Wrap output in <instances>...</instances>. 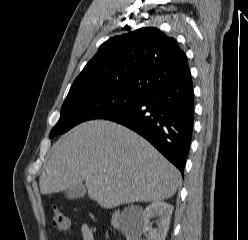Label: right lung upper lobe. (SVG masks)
<instances>
[{
    "label": "right lung upper lobe",
    "instance_id": "obj_1",
    "mask_svg": "<svg viewBox=\"0 0 248 240\" xmlns=\"http://www.w3.org/2000/svg\"><path fill=\"white\" fill-rule=\"evenodd\" d=\"M189 74L187 56L177 41L147 27L103 43L70 90L112 88L144 96Z\"/></svg>",
    "mask_w": 248,
    "mask_h": 240
}]
</instances>
